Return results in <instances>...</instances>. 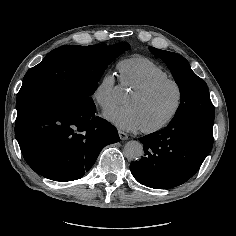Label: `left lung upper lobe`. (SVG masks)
<instances>
[{
    "label": "left lung upper lobe",
    "instance_id": "left-lung-upper-lobe-1",
    "mask_svg": "<svg viewBox=\"0 0 236 236\" xmlns=\"http://www.w3.org/2000/svg\"><path fill=\"white\" fill-rule=\"evenodd\" d=\"M149 50L166 63L180 88L181 103L171 122L191 117L214 119V106L208 87L205 81L192 71L188 61L174 52L151 46Z\"/></svg>",
    "mask_w": 236,
    "mask_h": 236
}]
</instances>
